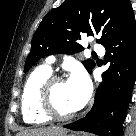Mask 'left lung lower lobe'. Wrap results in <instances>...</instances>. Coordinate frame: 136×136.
<instances>
[{
    "label": "left lung lower lobe",
    "mask_w": 136,
    "mask_h": 136,
    "mask_svg": "<svg viewBox=\"0 0 136 136\" xmlns=\"http://www.w3.org/2000/svg\"><path fill=\"white\" fill-rule=\"evenodd\" d=\"M102 45L110 66L96 90L94 105L84 118L64 127L99 136H122L136 73V21L132 9Z\"/></svg>",
    "instance_id": "left-lung-lower-lobe-1"
}]
</instances>
